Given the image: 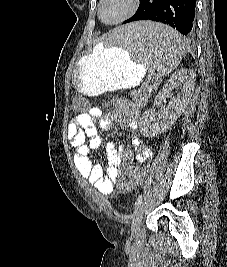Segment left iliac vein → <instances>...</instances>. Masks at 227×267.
Returning <instances> with one entry per match:
<instances>
[{"mask_svg": "<svg viewBox=\"0 0 227 267\" xmlns=\"http://www.w3.org/2000/svg\"><path fill=\"white\" fill-rule=\"evenodd\" d=\"M145 208H146V203L143 202L140 206L136 208V210L133 213L132 224H131V233L133 236L138 235L140 231L141 221L143 218Z\"/></svg>", "mask_w": 227, "mask_h": 267, "instance_id": "1", "label": "left iliac vein"}]
</instances>
